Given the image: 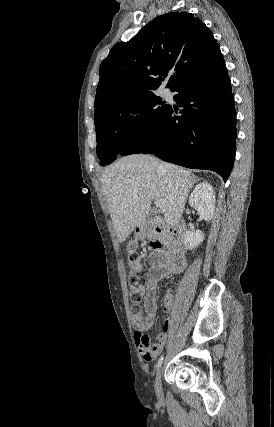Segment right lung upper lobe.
Returning <instances> with one entry per match:
<instances>
[{
  "mask_svg": "<svg viewBox=\"0 0 274 427\" xmlns=\"http://www.w3.org/2000/svg\"><path fill=\"white\" fill-rule=\"evenodd\" d=\"M224 65L213 33L186 12L156 17L130 41L112 47L100 66L94 116L130 97L154 94L170 76L172 91L191 77Z\"/></svg>",
  "mask_w": 274,
  "mask_h": 427,
  "instance_id": "right-lung-upper-lobe-1",
  "label": "right lung upper lobe"
}]
</instances>
